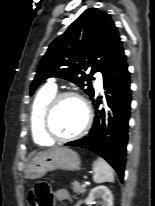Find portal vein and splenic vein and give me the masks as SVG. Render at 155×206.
<instances>
[{"instance_id":"obj_1","label":"portal vein and splenic vein","mask_w":155,"mask_h":206,"mask_svg":"<svg viewBox=\"0 0 155 206\" xmlns=\"http://www.w3.org/2000/svg\"><path fill=\"white\" fill-rule=\"evenodd\" d=\"M82 187H83V188H85V187H86V184H85V183H83V184H82Z\"/></svg>"}]
</instances>
